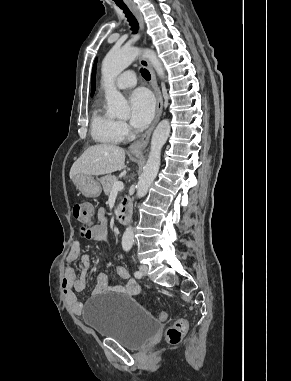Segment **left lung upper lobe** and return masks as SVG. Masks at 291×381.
Masks as SVG:
<instances>
[{
	"label": "left lung upper lobe",
	"mask_w": 291,
	"mask_h": 381,
	"mask_svg": "<svg viewBox=\"0 0 291 381\" xmlns=\"http://www.w3.org/2000/svg\"><path fill=\"white\" fill-rule=\"evenodd\" d=\"M95 74H96V61H95V64H94V67H93V72H92L91 96H93V94L95 92V88H96V85H95Z\"/></svg>",
	"instance_id": "left-lung-upper-lobe-1"
}]
</instances>
